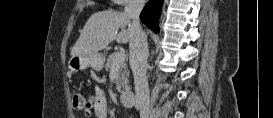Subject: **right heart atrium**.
Instances as JSON below:
<instances>
[{"label":"right heart atrium","instance_id":"1","mask_svg":"<svg viewBox=\"0 0 273 118\" xmlns=\"http://www.w3.org/2000/svg\"><path fill=\"white\" fill-rule=\"evenodd\" d=\"M117 2L122 6H126L132 1H130V0H117Z\"/></svg>","mask_w":273,"mask_h":118}]
</instances>
